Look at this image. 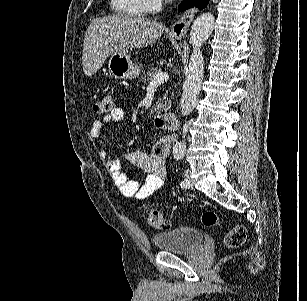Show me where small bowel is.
Instances as JSON below:
<instances>
[{"instance_id":"small-bowel-1","label":"small bowel","mask_w":307,"mask_h":301,"mask_svg":"<svg viewBox=\"0 0 307 301\" xmlns=\"http://www.w3.org/2000/svg\"><path fill=\"white\" fill-rule=\"evenodd\" d=\"M124 118V111L119 107L112 108L102 119L95 120L90 127V137H101L103 127L110 122H119ZM170 141L159 140L151 153L132 151L126 154V159L140 168L147 176L143 182L129 179L118 161L114 160L106 151L100 152V158L110 173L113 182L125 197L143 200L158 191L165 181V160L169 152Z\"/></svg>"}]
</instances>
